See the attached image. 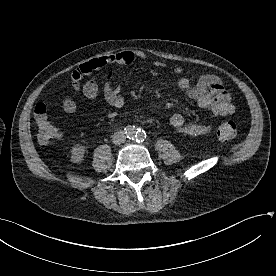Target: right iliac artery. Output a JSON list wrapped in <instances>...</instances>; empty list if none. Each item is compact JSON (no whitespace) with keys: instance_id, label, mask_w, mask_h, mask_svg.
<instances>
[{"instance_id":"obj_1","label":"right iliac artery","mask_w":276,"mask_h":276,"mask_svg":"<svg viewBox=\"0 0 276 276\" xmlns=\"http://www.w3.org/2000/svg\"><path fill=\"white\" fill-rule=\"evenodd\" d=\"M125 130H126V133H127V135H128L129 138L133 139L134 137H136L137 134H136V131H135L134 128L127 127V128H125Z\"/></svg>"}]
</instances>
